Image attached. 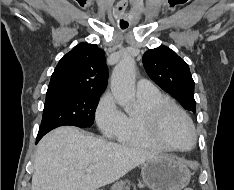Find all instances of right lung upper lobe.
<instances>
[{"label": "right lung upper lobe", "mask_w": 234, "mask_h": 190, "mask_svg": "<svg viewBox=\"0 0 234 190\" xmlns=\"http://www.w3.org/2000/svg\"><path fill=\"white\" fill-rule=\"evenodd\" d=\"M105 52L97 45L80 43L57 64L48 89L102 94L107 86Z\"/></svg>", "instance_id": "obj_1"}]
</instances>
